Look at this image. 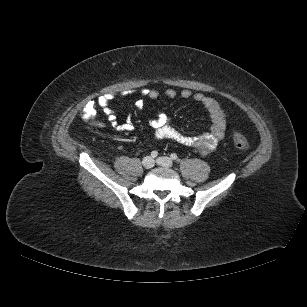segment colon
I'll use <instances>...</instances> for the list:
<instances>
[{
  "mask_svg": "<svg viewBox=\"0 0 307 307\" xmlns=\"http://www.w3.org/2000/svg\"><path fill=\"white\" fill-rule=\"evenodd\" d=\"M82 118L88 122L94 121L97 115V105L94 101L87 102L82 109ZM233 141L235 146L241 151H248L250 145L246 137L239 131H233L232 133Z\"/></svg>",
  "mask_w": 307,
  "mask_h": 307,
  "instance_id": "colon-1",
  "label": "colon"
}]
</instances>
